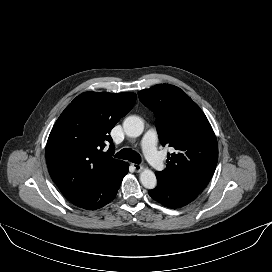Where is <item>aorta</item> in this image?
Segmentation results:
<instances>
[{
    "label": "aorta",
    "mask_w": 272,
    "mask_h": 272,
    "mask_svg": "<svg viewBox=\"0 0 272 272\" xmlns=\"http://www.w3.org/2000/svg\"><path fill=\"white\" fill-rule=\"evenodd\" d=\"M123 128L127 136L138 137L144 130V122L138 116H129L123 122ZM140 181L147 189H154L157 185V178L153 171L144 169L140 174Z\"/></svg>",
    "instance_id": "762f6f07"
}]
</instances>
